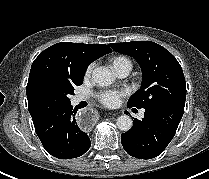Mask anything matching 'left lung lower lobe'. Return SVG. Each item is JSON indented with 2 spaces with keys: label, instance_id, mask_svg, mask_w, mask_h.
<instances>
[{
  "label": "left lung lower lobe",
  "instance_id": "0a47b994",
  "mask_svg": "<svg viewBox=\"0 0 209 179\" xmlns=\"http://www.w3.org/2000/svg\"><path fill=\"white\" fill-rule=\"evenodd\" d=\"M184 106L182 103H171L144 108V118L135 119L133 127L121 135L124 150L139 159L160 155L175 135Z\"/></svg>",
  "mask_w": 209,
  "mask_h": 179
}]
</instances>
